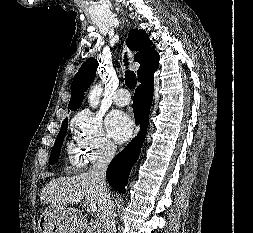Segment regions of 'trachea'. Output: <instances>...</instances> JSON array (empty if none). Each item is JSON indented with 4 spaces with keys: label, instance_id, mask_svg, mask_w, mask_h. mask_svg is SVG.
<instances>
[{
    "label": "trachea",
    "instance_id": "3493384b",
    "mask_svg": "<svg viewBox=\"0 0 253 233\" xmlns=\"http://www.w3.org/2000/svg\"><path fill=\"white\" fill-rule=\"evenodd\" d=\"M124 62H125V66H128V59L126 58V56H125ZM125 83L127 87L130 89H134L136 87L137 79L133 71L127 70L125 72Z\"/></svg>",
    "mask_w": 253,
    "mask_h": 233
}]
</instances>
